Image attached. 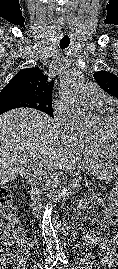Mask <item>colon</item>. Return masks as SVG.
Here are the masks:
<instances>
[{
    "mask_svg": "<svg viewBox=\"0 0 118 269\" xmlns=\"http://www.w3.org/2000/svg\"><path fill=\"white\" fill-rule=\"evenodd\" d=\"M0 220L6 224L0 262H4L5 269H19L29 244L22 234L21 221L15 215L11 192L6 187H0Z\"/></svg>",
    "mask_w": 118,
    "mask_h": 269,
    "instance_id": "5ec220e1",
    "label": "colon"
}]
</instances>
